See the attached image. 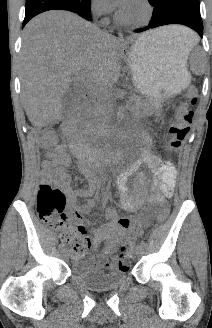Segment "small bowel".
I'll return each mask as SVG.
<instances>
[{
	"mask_svg": "<svg viewBox=\"0 0 212 328\" xmlns=\"http://www.w3.org/2000/svg\"><path fill=\"white\" fill-rule=\"evenodd\" d=\"M142 137L146 146L142 150L141 158L119 175L116 186L121 207L134 215L122 217L116 210L106 207L105 215L109 223L96 228L93 239L91 241L88 239L87 250L91 246L102 247L99 253L89 259L90 267L100 273L110 272L117 267L116 261H109V257L114 253L116 247L122 242H131L140 236L151 220L154 207L164 204L174 191L177 177L175 166L170 161L153 154L148 147L149 138L145 134H142ZM72 164V159L64 146L59 145L46 153L43 171L45 177L56 183L65 194L72 221L85 229L88 225L85 215L91 211L92 207V203L88 199L90 191L72 188L67 173V168ZM142 164L151 168L159 178V196H150L143 191L146 182V176L143 173L136 175L135 189L132 193L129 191V178L137 172ZM83 198H86L87 202L79 207V200ZM85 253L76 257L82 258Z\"/></svg>",
	"mask_w": 212,
	"mask_h": 328,
	"instance_id": "small-bowel-1",
	"label": "small bowel"
}]
</instances>
